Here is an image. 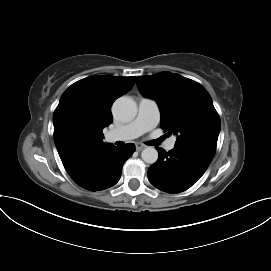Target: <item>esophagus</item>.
Segmentation results:
<instances>
[{
	"mask_svg": "<svg viewBox=\"0 0 271 271\" xmlns=\"http://www.w3.org/2000/svg\"><path fill=\"white\" fill-rule=\"evenodd\" d=\"M146 146L144 144H141V143H137L136 144V150L137 151H141L145 148Z\"/></svg>",
	"mask_w": 271,
	"mask_h": 271,
	"instance_id": "34e87169",
	"label": "esophagus"
}]
</instances>
